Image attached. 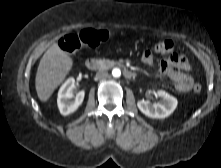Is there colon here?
I'll list each match as a JSON object with an SVG mask.
<instances>
[{"label":"colon","instance_id":"obj_1","mask_svg":"<svg viewBox=\"0 0 221 168\" xmlns=\"http://www.w3.org/2000/svg\"><path fill=\"white\" fill-rule=\"evenodd\" d=\"M108 38V32L105 30L86 29L80 34H69L62 37L59 41L61 49L69 53L77 51L82 44L94 46ZM154 49L156 52L168 54L172 53V44L169 41H160L155 44ZM194 92L199 93L202 90L200 84L193 87Z\"/></svg>","mask_w":221,"mask_h":168}]
</instances>
